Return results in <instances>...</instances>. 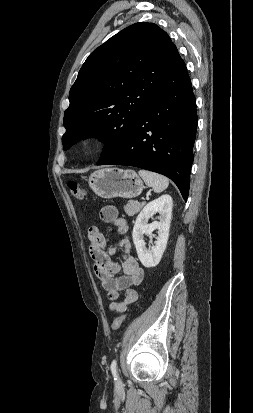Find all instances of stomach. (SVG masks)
I'll return each mask as SVG.
<instances>
[{
  "mask_svg": "<svg viewBox=\"0 0 253 413\" xmlns=\"http://www.w3.org/2000/svg\"><path fill=\"white\" fill-rule=\"evenodd\" d=\"M92 191L104 199L134 198L141 194L144 185L134 170L104 168L93 172L88 180Z\"/></svg>",
  "mask_w": 253,
  "mask_h": 413,
  "instance_id": "obj_1",
  "label": "stomach"
}]
</instances>
